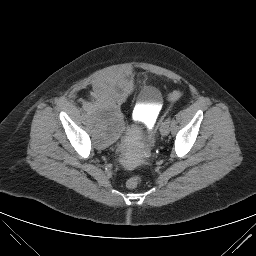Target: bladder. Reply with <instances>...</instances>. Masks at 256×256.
Masks as SVG:
<instances>
[{
    "mask_svg": "<svg viewBox=\"0 0 256 256\" xmlns=\"http://www.w3.org/2000/svg\"><path fill=\"white\" fill-rule=\"evenodd\" d=\"M132 89V83L125 77H109L97 82L95 97L90 101L88 114L96 142L108 147L120 139L124 120L119 102L125 99ZM140 108L144 114L162 104L161 91L155 86H145L140 93Z\"/></svg>",
    "mask_w": 256,
    "mask_h": 256,
    "instance_id": "31cf9c89",
    "label": "bladder"
}]
</instances>
